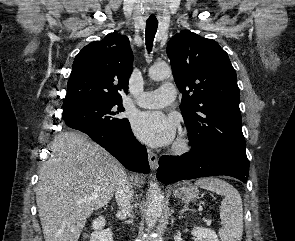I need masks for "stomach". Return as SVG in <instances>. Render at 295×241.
<instances>
[{"label": "stomach", "mask_w": 295, "mask_h": 241, "mask_svg": "<svg viewBox=\"0 0 295 241\" xmlns=\"http://www.w3.org/2000/svg\"><path fill=\"white\" fill-rule=\"evenodd\" d=\"M174 193L186 203L194 202L199 197L198 188L189 182L181 184Z\"/></svg>", "instance_id": "0dacf381"}]
</instances>
